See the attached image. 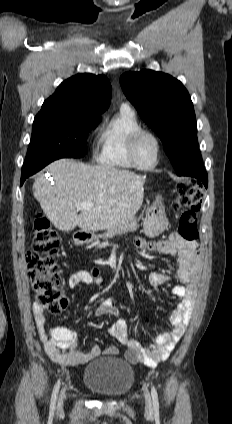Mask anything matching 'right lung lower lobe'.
<instances>
[{
	"instance_id": "1",
	"label": "right lung lower lobe",
	"mask_w": 232,
	"mask_h": 424,
	"mask_svg": "<svg viewBox=\"0 0 232 424\" xmlns=\"http://www.w3.org/2000/svg\"><path fill=\"white\" fill-rule=\"evenodd\" d=\"M57 159H59V158H51V159L42 160L40 162L35 163L34 165H32L31 167H29L27 169L22 168L21 185L24 183V181L27 177L35 174L36 172H38L39 170L44 168L46 165H48L49 163H51V162H53L54 160H57Z\"/></svg>"
}]
</instances>
